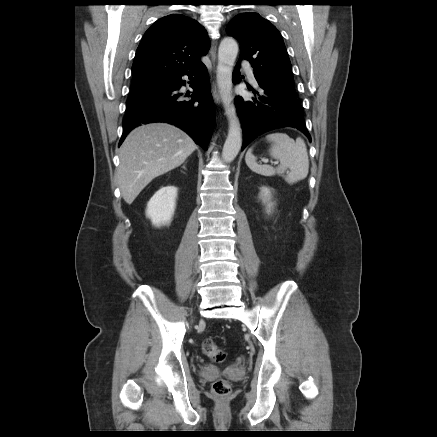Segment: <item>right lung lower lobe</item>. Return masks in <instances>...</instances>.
I'll use <instances>...</instances> for the list:
<instances>
[{
  "label": "right lung lower lobe",
  "instance_id": "98d812e1",
  "mask_svg": "<svg viewBox=\"0 0 437 437\" xmlns=\"http://www.w3.org/2000/svg\"><path fill=\"white\" fill-rule=\"evenodd\" d=\"M184 75H188L191 81L192 94L180 91L181 86L186 83L182 79ZM215 116L207 69L200 62L172 76L163 86L130 96L126 101L123 134L119 145L133 128L141 124L167 122L184 130L196 144L207 150Z\"/></svg>",
  "mask_w": 437,
  "mask_h": 437
}]
</instances>
